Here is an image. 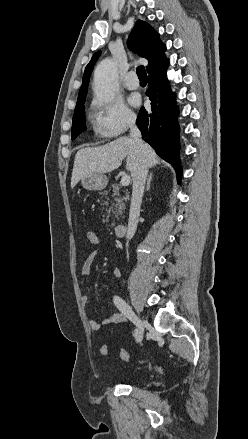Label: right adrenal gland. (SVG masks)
Wrapping results in <instances>:
<instances>
[{"instance_id": "obj_1", "label": "right adrenal gland", "mask_w": 248, "mask_h": 439, "mask_svg": "<svg viewBox=\"0 0 248 439\" xmlns=\"http://www.w3.org/2000/svg\"><path fill=\"white\" fill-rule=\"evenodd\" d=\"M152 177H153V173H150V175H149V177L147 179L146 191H148L150 189Z\"/></svg>"}]
</instances>
